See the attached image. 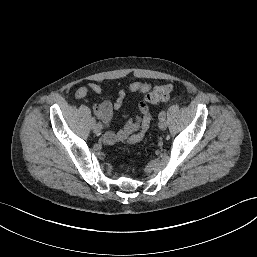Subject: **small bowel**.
Listing matches in <instances>:
<instances>
[{"label": "small bowel", "mask_w": 257, "mask_h": 257, "mask_svg": "<svg viewBox=\"0 0 257 257\" xmlns=\"http://www.w3.org/2000/svg\"><path fill=\"white\" fill-rule=\"evenodd\" d=\"M150 83L136 81L131 83L125 90L117 92L116 101L112 104L106 100L98 105L93 106V110L106 126H109L113 117V111L119 110L129 93L147 94L151 90ZM103 88L94 82L87 83L78 88L74 93V98L79 100L89 93L101 94ZM137 116L128 120L123 128L118 131L108 130L104 134V142L106 144H114L117 142L136 143L142 140L145 132L149 128L151 115L147 105L141 102L137 107Z\"/></svg>", "instance_id": "c3829d8e"}]
</instances>
